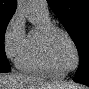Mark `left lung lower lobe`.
<instances>
[{
  "mask_svg": "<svg viewBox=\"0 0 89 89\" xmlns=\"http://www.w3.org/2000/svg\"><path fill=\"white\" fill-rule=\"evenodd\" d=\"M75 82L85 84L89 86V74L85 72H80L79 74L75 75L73 79Z\"/></svg>",
  "mask_w": 89,
  "mask_h": 89,
  "instance_id": "obj_1",
  "label": "left lung lower lobe"
}]
</instances>
